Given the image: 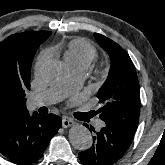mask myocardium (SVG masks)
I'll list each match as a JSON object with an SVG mask.
<instances>
[{
	"label": "myocardium",
	"mask_w": 165,
	"mask_h": 165,
	"mask_svg": "<svg viewBox=\"0 0 165 165\" xmlns=\"http://www.w3.org/2000/svg\"><path fill=\"white\" fill-rule=\"evenodd\" d=\"M104 74H105L104 69H99V70L96 71V76H97L98 79H100Z\"/></svg>",
	"instance_id": "myocardium-1"
}]
</instances>
